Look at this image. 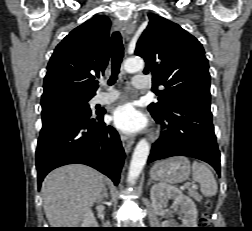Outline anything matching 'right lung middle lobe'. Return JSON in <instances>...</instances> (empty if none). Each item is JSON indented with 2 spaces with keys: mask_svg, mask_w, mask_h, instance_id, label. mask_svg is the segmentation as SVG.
Returning <instances> with one entry per match:
<instances>
[{
  "mask_svg": "<svg viewBox=\"0 0 252 231\" xmlns=\"http://www.w3.org/2000/svg\"><path fill=\"white\" fill-rule=\"evenodd\" d=\"M91 98L92 96L60 95L42 100V121L44 123L62 115L90 114L88 101Z\"/></svg>",
  "mask_w": 252,
  "mask_h": 231,
  "instance_id": "dd1d6c3e",
  "label": "right lung middle lobe"
}]
</instances>
